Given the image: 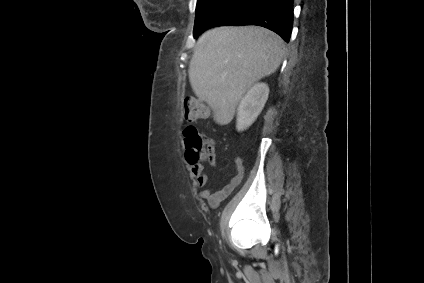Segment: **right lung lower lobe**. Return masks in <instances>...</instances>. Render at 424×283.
<instances>
[{
    "mask_svg": "<svg viewBox=\"0 0 424 283\" xmlns=\"http://www.w3.org/2000/svg\"><path fill=\"white\" fill-rule=\"evenodd\" d=\"M257 25L265 27L289 41L293 25V0H227L200 30L215 26Z\"/></svg>",
    "mask_w": 424,
    "mask_h": 283,
    "instance_id": "98d812e1",
    "label": "right lung lower lobe"
}]
</instances>
